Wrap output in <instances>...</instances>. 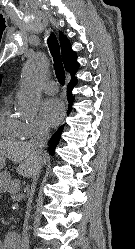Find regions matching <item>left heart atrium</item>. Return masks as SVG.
Instances as JSON below:
<instances>
[{
  "label": "left heart atrium",
  "instance_id": "39dd6f15",
  "mask_svg": "<svg viewBox=\"0 0 135 249\" xmlns=\"http://www.w3.org/2000/svg\"><path fill=\"white\" fill-rule=\"evenodd\" d=\"M44 121L50 126H56L62 120L65 112L62 101L58 98H49L41 107Z\"/></svg>",
  "mask_w": 135,
  "mask_h": 249
}]
</instances>
